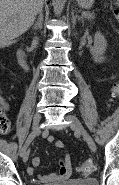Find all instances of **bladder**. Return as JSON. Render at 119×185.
Segmentation results:
<instances>
[{
	"label": "bladder",
	"instance_id": "31cf9c89",
	"mask_svg": "<svg viewBox=\"0 0 119 185\" xmlns=\"http://www.w3.org/2000/svg\"><path fill=\"white\" fill-rule=\"evenodd\" d=\"M52 185H99V184L96 179L88 178V179H75L67 182L55 183Z\"/></svg>",
	"mask_w": 119,
	"mask_h": 185
}]
</instances>
